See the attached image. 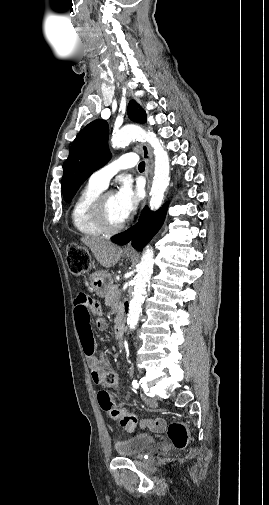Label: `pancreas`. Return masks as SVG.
<instances>
[{
  "label": "pancreas",
  "mask_w": 269,
  "mask_h": 505,
  "mask_svg": "<svg viewBox=\"0 0 269 505\" xmlns=\"http://www.w3.org/2000/svg\"><path fill=\"white\" fill-rule=\"evenodd\" d=\"M108 305L120 311V291L117 285H112L106 293Z\"/></svg>",
  "instance_id": "obj_1"
}]
</instances>
